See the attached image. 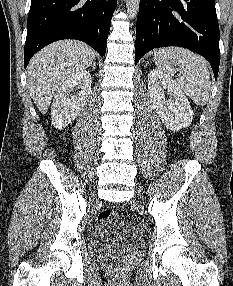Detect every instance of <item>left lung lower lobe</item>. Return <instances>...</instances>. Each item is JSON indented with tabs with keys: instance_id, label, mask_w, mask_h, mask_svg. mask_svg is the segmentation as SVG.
Instances as JSON below:
<instances>
[{
	"instance_id": "obj_1",
	"label": "left lung lower lobe",
	"mask_w": 233,
	"mask_h": 286,
	"mask_svg": "<svg viewBox=\"0 0 233 286\" xmlns=\"http://www.w3.org/2000/svg\"><path fill=\"white\" fill-rule=\"evenodd\" d=\"M165 46L202 55L217 79L220 50L215 0H140L135 63L148 51Z\"/></svg>"
}]
</instances>
